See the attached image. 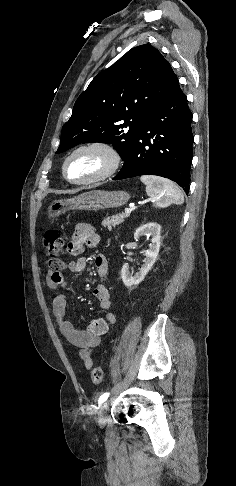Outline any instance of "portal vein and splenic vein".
Instances as JSON below:
<instances>
[{
  "label": "portal vein and splenic vein",
  "mask_w": 236,
  "mask_h": 486,
  "mask_svg": "<svg viewBox=\"0 0 236 486\" xmlns=\"http://www.w3.org/2000/svg\"><path fill=\"white\" fill-rule=\"evenodd\" d=\"M131 211H132V209H131V208H126V209H125V213H126V214H130V213H131Z\"/></svg>",
  "instance_id": "1"
}]
</instances>
